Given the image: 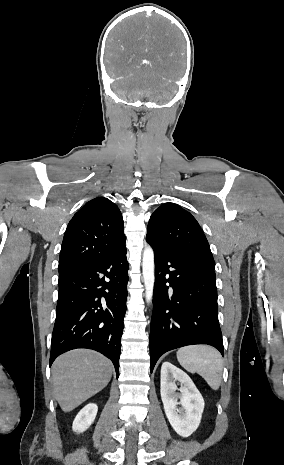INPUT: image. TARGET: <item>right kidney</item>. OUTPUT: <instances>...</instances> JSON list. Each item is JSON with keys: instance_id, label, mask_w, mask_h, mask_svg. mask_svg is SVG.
Returning a JSON list of instances; mask_svg holds the SVG:
<instances>
[{"instance_id": "ca27d5eb", "label": "right kidney", "mask_w": 284, "mask_h": 465, "mask_svg": "<svg viewBox=\"0 0 284 465\" xmlns=\"http://www.w3.org/2000/svg\"><path fill=\"white\" fill-rule=\"evenodd\" d=\"M97 411L98 407L94 405V403H89V405L83 407L73 421V431H75V433H84L86 429H89L97 415Z\"/></svg>"}]
</instances>
